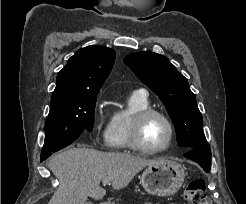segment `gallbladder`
Returning <instances> with one entry per match:
<instances>
[{
  "mask_svg": "<svg viewBox=\"0 0 246 204\" xmlns=\"http://www.w3.org/2000/svg\"><path fill=\"white\" fill-rule=\"evenodd\" d=\"M85 204H93L92 202H90V201H88V202H86Z\"/></svg>",
  "mask_w": 246,
  "mask_h": 204,
  "instance_id": "gallbladder-1",
  "label": "gallbladder"
}]
</instances>
